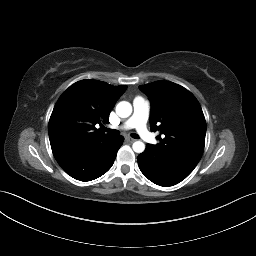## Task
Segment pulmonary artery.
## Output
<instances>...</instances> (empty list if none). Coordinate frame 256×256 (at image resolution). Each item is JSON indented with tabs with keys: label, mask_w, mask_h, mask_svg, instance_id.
<instances>
[{
	"label": "pulmonary artery",
	"mask_w": 256,
	"mask_h": 256,
	"mask_svg": "<svg viewBox=\"0 0 256 256\" xmlns=\"http://www.w3.org/2000/svg\"><path fill=\"white\" fill-rule=\"evenodd\" d=\"M150 103L144 98L137 97L133 102V113L129 119L118 126L119 129L129 130L135 129L137 133L148 143H156L155 136L147 129V121L149 118Z\"/></svg>",
	"instance_id": "e3ab8cb5"
}]
</instances>
